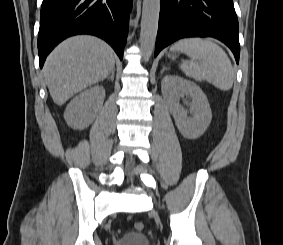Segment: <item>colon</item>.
<instances>
[{"label":"colon","instance_id":"obj_1","mask_svg":"<svg viewBox=\"0 0 283 245\" xmlns=\"http://www.w3.org/2000/svg\"><path fill=\"white\" fill-rule=\"evenodd\" d=\"M134 228L136 231H142L144 229V224L142 222H136L134 224Z\"/></svg>","mask_w":283,"mask_h":245}]
</instances>
